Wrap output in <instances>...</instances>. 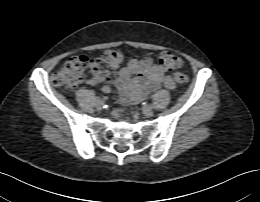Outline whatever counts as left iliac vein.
Here are the masks:
<instances>
[{
  "instance_id": "obj_1",
  "label": "left iliac vein",
  "mask_w": 260,
  "mask_h": 202,
  "mask_svg": "<svg viewBox=\"0 0 260 202\" xmlns=\"http://www.w3.org/2000/svg\"><path fill=\"white\" fill-rule=\"evenodd\" d=\"M142 112L146 116H152L153 115V108L151 105H144L142 107Z\"/></svg>"
}]
</instances>
